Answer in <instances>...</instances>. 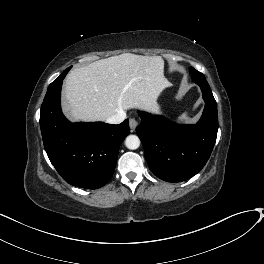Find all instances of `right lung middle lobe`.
I'll list each match as a JSON object with an SVG mask.
<instances>
[{
  "label": "right lung middle lobe",
  "mask_w": 264,
  "mask_h": 264,
  "mask_svg": "<svg viewBox=\"0 0 264 264\" xmlns=\"http://www.w3.org/2000/svg\"><path fill=\"white\" fill-rule=\"evenodd\" d=\"M70 68H71V67L67 68L65 71H69V70H70ZM65 71H63V72H65Z\"/></svg>",
  "instance_id": "dd1d6c3e"
}]
</instances>
